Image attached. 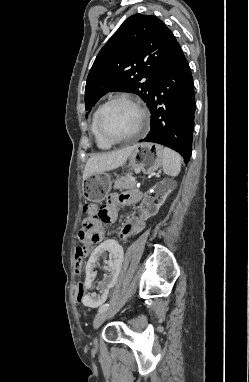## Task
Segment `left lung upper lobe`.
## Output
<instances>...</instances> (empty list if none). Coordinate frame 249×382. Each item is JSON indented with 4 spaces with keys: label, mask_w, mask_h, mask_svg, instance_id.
Wrapping results in <instances>:
<instances>
[{
    "label": "left lung upper lobe",
    "mask_w": 249,
    "mask_h": 382,
    "mask_svg": "<svg viewBox=\"0 0 249 382\" xmlns=\"http://www.w3.org/2000/svg\"><path fill=\"white\" fill-rule=\"evenodd\" d=\"M177 44L173 33L156 16L135 14L127 18L93 63L85 88L86 110L112 91L135 93L148 105Z\"/></svg>",
    "instance_id": "obj_1"
}]
</instances>
